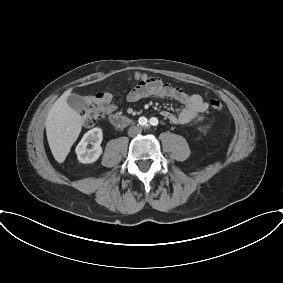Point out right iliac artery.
Instances as JSON below:
<instances>
[{"instance_id": "82829eb1", "label": "right iliac artery", "mask_w": 283, "mask_h": 283, "mask_svg": "<svg viewBox=\"0 0 283 283\" xmlns=\"http://www.w3.org/2000/svg\"><path fill=\"white\" fill-rule=\"evenodd\" d=\"M139 123L145 125L147 123V119L145 117H141Z\"/></svg>"}]
</instances>
